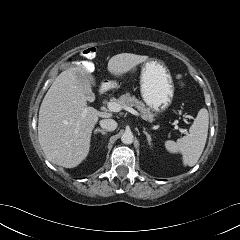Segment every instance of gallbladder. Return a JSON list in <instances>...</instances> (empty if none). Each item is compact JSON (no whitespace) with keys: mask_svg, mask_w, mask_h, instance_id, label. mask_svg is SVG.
Masks as SVG:
<instances>
[{"mask_svg":"<svg viewBox=\"0 0 240 240\" xmlns=\"http://www.w3.org/2000/svg\"><path fill=\"white\" fill-rule=\"evenodd\" d=\"M76 77H77L79 86L85 91L88 100H93L94 94L91 91V86L88 79L81 73H77Z\"/></svg>","mask_w":240,"mask_h":240,"instance_id":"bac80fb5","label":"gallbladder"}]
</instances>
